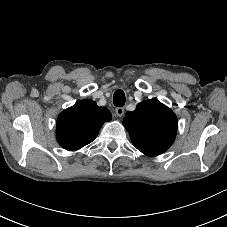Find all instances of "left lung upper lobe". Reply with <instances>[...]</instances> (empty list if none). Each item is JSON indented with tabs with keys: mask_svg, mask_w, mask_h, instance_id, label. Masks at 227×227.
<instances>
[{
	"mask_svg": "<svg viewBox=\"0 0 227 227\" xmlns=\"http://www.w3.org/2000/svg\"><path fill=\"white\" fill-rule=\"evenodd\" d=\"M123 125L130 133L133 145L148 156L165 152L177 132L176 115L156 99L143 101L135 111L127 112Z\"/></svg>",
	"mask_w": 227,
	"mask_h": 227,
	"instance_id": "5c2ea615",
	"label": "left lung upper lobe"
}]
</instances>
